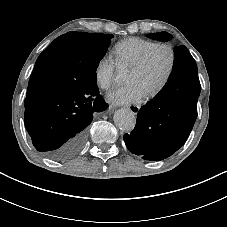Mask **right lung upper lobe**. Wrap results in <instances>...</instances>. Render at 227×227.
Masks as SVG:
<instances>
[{"instance_id": "obj_1", "label": "right lung upper lobe", "mask_w": 227, "mask_h": 227, "mask_svg": "<svg viewBox=\"0 0 227 227\" xmlns=\"http://www.w3.org/2000/svg\"><path fill=\"white\" fill-rule=\"evenodd\" d=\"M52 87L57 88L56 81L38 69L34 68L28 84L25 106L32 103L35 99Z\"/></svg>"}]
</instances>
